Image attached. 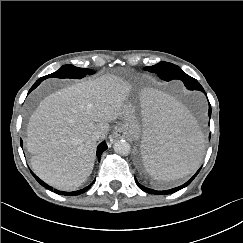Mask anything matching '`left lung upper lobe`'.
Here are the masks:
<instances>
[{
    "label": "left lung upper lobe",
    "mask_w": 243,
    "mask_h": 243,
    "mask_svg": "<svg viewBox=\"0 0 243 243\" xmlns=\"http://www.w3.org/2000/svg\"><path fill=\"white\" fill-rule=\"evenodd\" d=\"M145 70L157 73V75L165 81H170L173 79H179L184 82V84H195L198 83V81L186 73H184L178 66L169 63V62H159L156 65L145 67Z\"/></svg>",
    "instance_id": "left-lung-upper-lobe-1"
}]
</instances>
